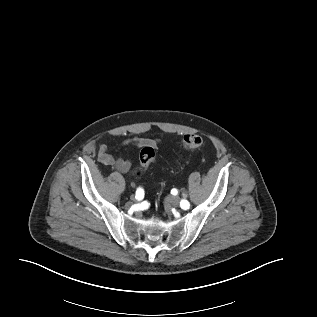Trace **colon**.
Here are the masks:
<instances>
[{
    "label": "colon",
    "mask_w": 317,
    "mask_h": 317,
    "mask_svg": "<svg viewBox=\"0 0 317 317\" xmlns=\"http://www.w3.org/2000/svg\"><path fill=\"white\" fill-rule=\"evenodd\" d=\"M181 144L184 149L193 151L201 147L202 139L198 135L188 134L183 136ZM154 159V148L151 145L144 146L139 154L140 169L138 170L137 175L141 176L144 170L154 161Z\"/></svg>",
    "instance_id": "1"
}]
</instances>
